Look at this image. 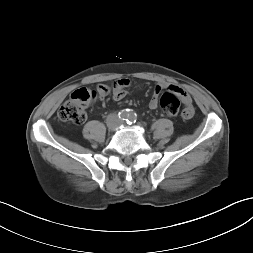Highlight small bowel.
<instances>
[{
	"label": "small bowel",
	"mask_w": 253,
	"mask_h": 253,
	"mask_svg": "<svg viewBox=\"0 0 253 253\" xmlns=\"http://www.w3.org/2000/svg\"><path fill=\"white\" fill-rule=\"evenodd\" d=\"M130 84L131 81L128 78H121L114 81L111 90L106 85H99L97 88L101 92L105 91L104 97L108 95L111 91L113 99L116 101H120L125 97L126 95L125 88L128 87ZM163 90L174 92L179 96L182 103L184 104V106L180 109V117L183 120H191L195 117L196 110L192 106V99L190 95L183 88L173 84H169L167 82H159L154 87L151 99L148 103L150 109H156L158 107L159 97Z\"/></svg>",
	"instance_id": "obj_1"
}]
</instances>
